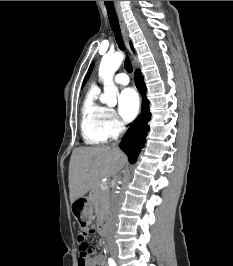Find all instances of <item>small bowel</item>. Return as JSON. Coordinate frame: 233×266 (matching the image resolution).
<instances>
[{
    "mask_svg": "<svg viewBox=\"0 0 233 266\" xmlns=\"http://www.w3.org/2000/svg\"><path fill=\"white\" fill-rule=\"evenodd\" d=\"M100 245H102L104 243L103 240H100ZM93 256H89L87 258H85V260L83 261V264H80V258L78 261L79 266H106V258L104 255L102 254H95V250L93 249L92 252Z\"/></svg>",
    "mask_w": 233,
    "mask_h": 266,
    "instance_id": "c3829d8e",
    "label": "small bowel"
}]
</instances>
